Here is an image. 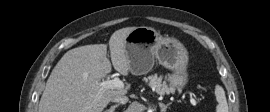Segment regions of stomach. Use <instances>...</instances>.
<instances>
[{
    "instance_id": "1",
    "label": "stomach",
    "mask_w": 270,
    "mask_h": 112,
    "mask_svg": "<svg viewBox=\"0 0 270 112\" xmlns=\"http://www.w3.org/2000/svg\"><path fill=\"white\" fill-rule=\"evenodd\" d=\"M125 48L132 74L148 73L157 59L162 66L173 71L167 77L172 89H183L187 85L188 53L177 39L141 26L128 34Z\"/></svg>"
}]
</instances>
